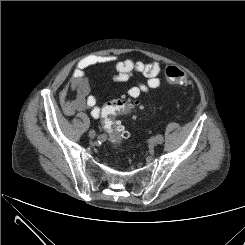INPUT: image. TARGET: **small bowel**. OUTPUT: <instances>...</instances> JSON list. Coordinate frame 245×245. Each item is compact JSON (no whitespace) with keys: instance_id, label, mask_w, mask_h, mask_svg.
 I'll list each match as a JSON object with an SVG mask.
<instances>
[{"instance_id":"small-bowel-1","label":"small bowel","mask_w":245,"mask_h":245,"mask_svg":"<svg viewBox=\"0 0 245 245\" xmlns=\"http://www.w3.org/2000/svg\"><path fill=\"white\" fill-rule=\"evenodd\" d=\"M98 65L112 66L114 70L113 80L116 82H126L134 73L144 75L147 78L145 83H137L129 88L128 95L131 98L148 94L151 89L160 87L162 83L160 78L162 66L159 62L119 60L114 55L89 56L77 63L68 84L59 93V102L66 115H72L77 111L90 110L95 119L101 116V109L97 106V100L94 95L90 94V81L85 72L86 69ZM69 91L75 93L73 99L68 98Z\"/></svg>"}]
</instances>
